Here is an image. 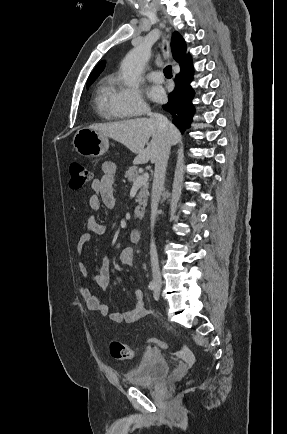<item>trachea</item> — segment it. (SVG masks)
Returning a JSON list of instances; mask_svg holds the SVG:
<instances>
[{"mask_svg":"<svg viewBox=\"0 0 287 434\" xmlns=\"http://www.w3.org/2000/svg\"><path fill=\"white\" fill-rule=\"evenodd\" d=\"M164 75L166 78H172V67L168 65L164 68Z\"/></svg>","mask_w":287,"mask_h":434,"instance_id":"obj_1","label":"trachea"}]
</instances>
